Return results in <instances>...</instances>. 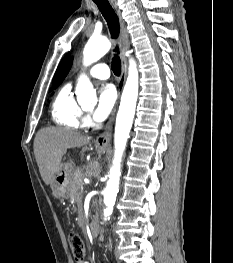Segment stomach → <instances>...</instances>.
Instances as JSON below:
<instances>
[{
	"label": "stomach",
	"instance_id": "1",
	"mask_svg": "<svg viewBox=\"0 0 233 263\" xmlns=\"http://www.w3.org/2000/svg\"><path fill=\"white\" fill-rule=\"evenodd\" d=\"M96 151L98 153H104L106 151L105 147L96 146ZM73 172V166L70 163L61 164V168L55 174L51 189L55 196L60 198H66L69 196L71 191L70 176Z\"/></svg>",
	"mask_w": 233,
	"mask_h": 263
}]
</instances>
